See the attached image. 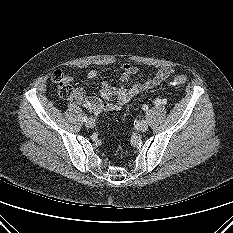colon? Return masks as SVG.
<instances>
[{
	"mask_svg": "<svg viewBox=\"0 0 233 233\" xmlns=\"http://www.w3.org/2000/svg\"><path fill=\"white\" fill-rule=\"evenodd\" d=\"M52 81L57 85L59 94L64 99H70L74 95V88L70 81L59 70L52 75ZM187 77L185 75H178L170 82L171 86L178 87L186 83Z\"/></svg>",
	"mask_w": 233,
	"mask_h": 233,
	"instance_id": "colon-1",
	"label": "colon"
}]
</instances>
